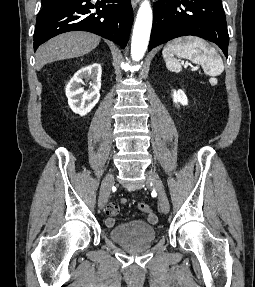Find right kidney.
I'll return each instance as SVG.
<instances>
[{"label": "right kidney", "mask_w": 255, "mask_h": 287, "mask_svg": "<svg viewBox=\"0 0 255 287\" xmlns=\"http://www.w3.org/2000/svg\"><path fill=\"white\" fill-rule=\"evenodd\" d=\"M101 64H91V66H84L74 74L73 78L69 80L66 86V96L68 104L79 116H86L91 112L95 104L99 102L101 88ZM83 80H92L91 86L87 92L81 88Z\"/></svg>", "instance_id": "1"}]
</instances>
